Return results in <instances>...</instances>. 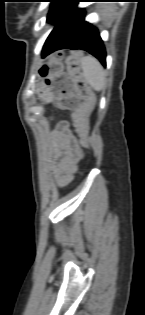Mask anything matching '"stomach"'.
<instances>
[{
  "instance_id": "1",
  "label": "stomach",
  "mask_w": 145,
  "mask_h": 315,
  "mask_svg": "<svg viewBox=\"0 0 145 315\" xmlns=\"http://www.w3.org/2000/svg\"><path fill=\"white\" fill-rule=\"evenodd\" d=\"M36 90L39 91L37 93V96L41 98L42 100L49 102L51 100V96L48 93L47 87H42V84L36 85Z\"/></svg>"
}]
</instances>
